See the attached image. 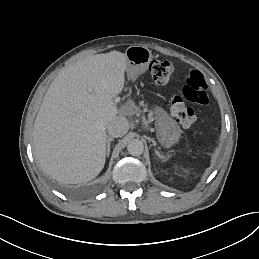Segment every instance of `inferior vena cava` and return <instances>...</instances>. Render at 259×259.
Listing matches in <instances>:
<instances>
[{"label":"inferior vena cava","mask_w":259,"mask_h":259,"mask_svg":"<svg viewBox=\"0 0 259 259\" xmlns=\"http://www.w3.org/2000/svg\"><path fill=\"white\" fill-rule=\"evenodd\" d=\"M129 130V122L124 116H116L107 126L108 134L118 138L124 136Z\"/></svg>","instance_id":"602c4592"}]
</instances>
